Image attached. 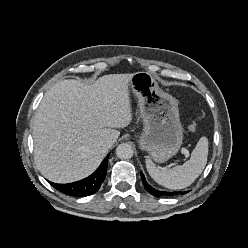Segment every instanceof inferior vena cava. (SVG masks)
<instances>
[{
  "label": "inferior vena cava",
  "instance_id": "inferior-vena-cava-1",
  "mask_svg": "<svg viewBox=\"0 0 248 248\" xmlns=\"http://www.w3.org/2000/svg\"><path fill=\"white\" fill-rule=\"evenodd\" d=\"M113 144H114V141L111 140V139H105L102 142V145L105 146V147H108V148H110Z\"/></svg>",
  "mask_w": 248,
  "mask_h": 248
}]
</instances>
